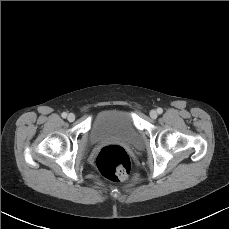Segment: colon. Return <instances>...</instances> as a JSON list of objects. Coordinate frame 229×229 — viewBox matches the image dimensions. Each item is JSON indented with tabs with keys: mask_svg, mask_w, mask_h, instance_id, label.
Here are the masks:
<instances>
[{
	"mask_svg": "<svg viewBox=\"0 0 229 229\" xmlns=\"http://www.w3.org/2000/svg\"><path fill=\"white\" fill-rule=\"evenodd\" d=\"M96 165L103 177L121 180L129 173L131 162L123 147L108 145L98 153Z\"/></svg>",
	"mask_w": 229,
	"mask_h": 229,
	"instance_id": "colon-1",
	"label": "colon"
}]
</instances>
